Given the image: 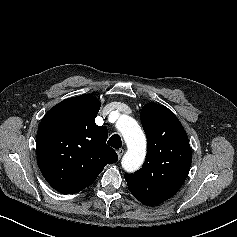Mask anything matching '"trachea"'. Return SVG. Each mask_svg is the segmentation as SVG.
I'll return each mask as SVG.
<instances>
[{"instance_id":"1","label":"trachea","mask_w":237,"mask_h":237,"mask_svg":"<svg viewBox=\"0 0 237 237\" xmlns=\"http://www.w3.org/2000/svg\"><path fill=\"white\" fill-rule=\"evenodd\" d=\"M108 145L115 149H119L122 146L121 137L118 134L112 135L108 140Z\"/></svg>"}]
</instances>
